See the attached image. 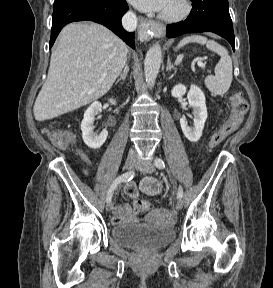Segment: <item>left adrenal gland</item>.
<instances>
[{"label":"left adrenal gland","mask_w":273,"mask_h":288,"mask_svg":"<svg viewBox=\"0 0 273 288\" xmlns=\"http://www.w3.org/2000/svg\"><path fill=\"white\" fill-rule=\"evenodd\" d=\"M171 69L177 71V68L174 67V65L171 63L170 59H168V61H167V67H166V71H170Z\"/></svg>","instance_id":"obj_1"}]
</instances>
